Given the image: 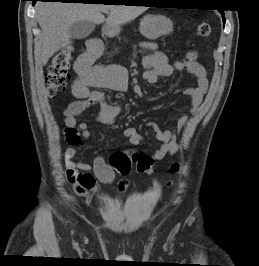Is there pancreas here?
<instances>
[{
  "label": "pancreas",
  "mask_w": 259,
  "mask_h": 266,
  "mask_svg": "<svg viewBox=\"0 0 259 266\" xmlns=\"http://www.w3.org/2000/svg\"><path fill=\"white\" fill-rule=\"evenodd\" d=\"M142 45H144V46H150V44H147V43H143Z\"/></svg>",
  "instance_id": "1"
}]
</instances>
